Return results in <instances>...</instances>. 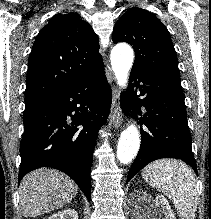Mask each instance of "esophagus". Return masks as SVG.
Returning a JSON list of instances; mask_svg holds the SVG:
<instances>
[{"label": "esophagus", "mask_w": 211, "mask_h": 219, "mask_svg": "<svg viewBox=\"0 0 211 219\" xmlns=\"http://www.w3.org/2000/svg\"><path fill=\"white\" fill-rule=\"evenodd\" d=\"M110 121L112 127L116 130L121 127L123 121V114L120 107V94L116 87L113 88Z\"/></svg>", "instance_id": "obj_1"}]
</instances>
